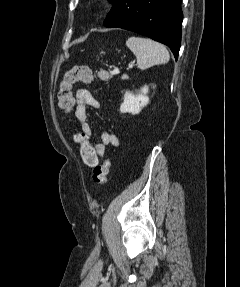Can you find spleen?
Segmentation results:
<instances>
[{"label":"spleen","mask_w":240,"mask_h":287,"mask_svg":"<svg viewBox=\"0 0 240 287\" xmlns=\"http://www.w3.org/2000/svg\"><path fill=\"white\" fill-rule=\"evenodd\" d=\"M126 45L136 56L137 66L141 70L165 64L170 59L166 47L149 38L132 36L128 38Z\"/></svg>","instance_id":"obj_1"}]
</instances>
